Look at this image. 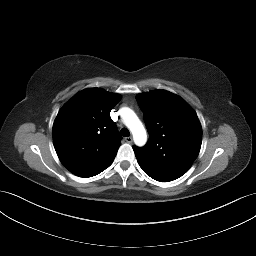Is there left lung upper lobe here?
Instances as JSON below:
<instances>
[{"instance_id": "left-lung-upper-lobe-1", "label": "left lung upper lobe", "mask_w": 256, "mask_h": 256, "mask_svg": "<svg viewBox=\"0 0 256 256\" xmlns=\"http://www.w3.org/2000/svg\"><path fill=\"white\" fill-rule=\"evenodd\" d=\"M149 141L133 147L137 161L150 177L175 180L186 173L197 158L202 127L194 110L179 96L155 90L138 94Z\"/></svg>"}]
</instances>
